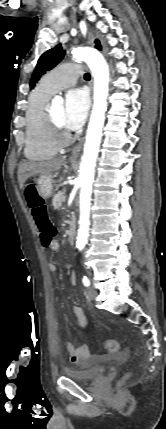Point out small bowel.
Instances as JSON below:
<instances>
[{
  "instance_id": "c3829d8e",
  "label": "small bowel",
  "mask_w": 166,
  "mask_h": 429,
  "mask_svg": "<svg viewBox=\"0 0 166 429\" xmlns=\"http://www.w3.org/2000/svg\"><path fill=\"white\" fill-rule=\"evenodd\" d=\"M48 247L52 251H57V250H59L60 244L57 240H53L48 245ZM49 270L52 273H56L58 270L56 264L55 263H49ZM70 282L72 285L76 284V275L74 273H72L70 275ZM73 311H74L75 316L78 319L80 326L82 328H87L88 327V319H87L85 313L83 312V310L79 306L74 305ZM66 349H67V352L69 354L71 362L76 364V365L82 366V367L90 366V365L98 363L102 360V357L93 355L91 353L90 349L88 348V346H86V345H81V346L76 347L71 342H68L66 344Z\"/></svg>"
}]
</instances>
